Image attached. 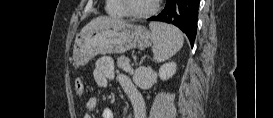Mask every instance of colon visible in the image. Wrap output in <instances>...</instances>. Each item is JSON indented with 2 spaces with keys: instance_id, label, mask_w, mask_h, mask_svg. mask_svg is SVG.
I'll use <instances>...</instances> for the list:
<instances>
[{
  "instance_id": "obj_1",
  "label": "colon",
  "mask_w": 273,
  "mask_h": 118,
  "mask_svg": "<svg viewBox=\"0 0 273 118\" xmlns=\"http://www.w3.org/2000/svg\"><path fill=\"white\" fill-rule=\"evenodd\" d=\"M75 93L78 97L84 95V82L81 78H77L74 82Z\"/></svg>"
}]
</instances>
